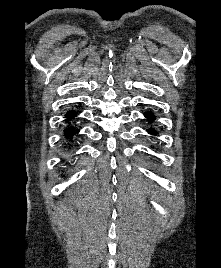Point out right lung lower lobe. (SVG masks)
I'll return each mask as SVG.
<instances>
[{"label": "right lung lower lobe", "instance_id": "98d812e1", "mask_svg": "<svg viewBox=\"0 0 221 268\" xmlns=\"http://www.w3.org/2000/svg\"><path fill=\"white\" fill-rule=\"evenodd\" d=\"M75 115L76 113L71 110L68 111L65 116V121L69 124V126L64 130V135L68 140H71L73 138V135L79 132V129H75L72 125H70V120L74 118Z\"/></svg>", "mask_w": 221, "mask_h": 268}]
</instances>
